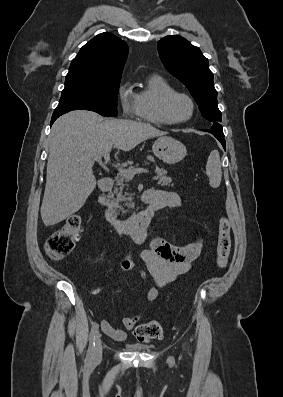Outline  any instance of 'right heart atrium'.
Instances as JSON below:
<instances>
[{"label": "right heart atrium", "mask_w": 283, "mask_h": 397, "mask_svg": "<svg viewBox=\"0 0 283 397\" xmlns=\"http://www.w3.org/2000/svg\"><path fill=\"white\" fill-rule=\"evenodd\" d=\"M117 100L124 117L135 118L139 116L137 96L129 82H124L119 86Z\"/></svg>", "instance_id": "right-heart-atrium-1"}]
</instances>
